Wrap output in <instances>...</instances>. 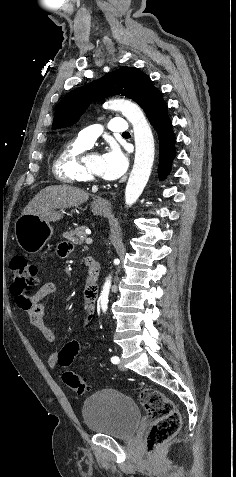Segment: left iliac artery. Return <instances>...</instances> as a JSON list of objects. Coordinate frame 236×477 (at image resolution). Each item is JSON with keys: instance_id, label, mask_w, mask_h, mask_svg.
I'll return each instance as SVG.
<instances>
[{"instance_id": "obj_1", "label": "left iliac artery", "mask_w": 236, "mask_h": 477, "mask_svg": "<svg viewBox=\"0 0 236 477\" xmlns=\"http://www.w3.org/2000/svg\"><path fill=\"white\" fill-rule=\"evenodd\" d=\"M111 362H112L113 364H118V363L120 362V359H119V357H117V356H113V357L111 358Z\"/></svg>"}]
</instances>
